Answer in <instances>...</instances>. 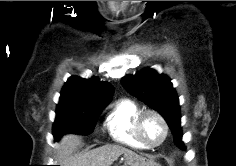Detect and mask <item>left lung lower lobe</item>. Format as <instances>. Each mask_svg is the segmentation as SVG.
I'll use <instances>...</instances> for the list:
<instances>
[{"mask_svg":"<svg viewBox=\"0 0 236 166\" xmlns=\"http://www.w3.org/2000/svg\"><path fill=\"white\" fill-rule=\"evenodd\" d=\"M171 131H172V134H173V137H174V143L181 149H184V144L182 142V130H181V127H180V122L176 123V124H173V125H170L169 126Z\"/></svg>","mask_w":236,"mask_h":166,"instance_id":"1","label":"left lung lower lobe"}]
</instances>
